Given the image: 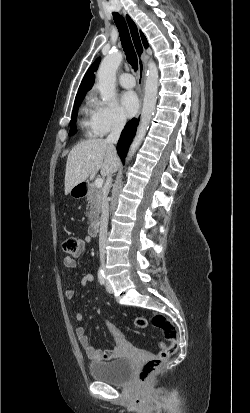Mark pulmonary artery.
Here are the masks:
<instances>
[{
    "label": "pulmonary artery",
    "mask_w": 250,
    "mask_h": 413,
    "mask_svg": "<svg viewBox=\"0 0 250 413\" xmlns=\"http://www.w3.org/2000/svg\"><path fill=\"white\" fill-rule=\"evenodd\" d=\"M119 82L124 88H133L135 86V79L130 73H123L119 76Z\"/></svg>",
    "instance_id": "obj_1"
}]
</instances>
